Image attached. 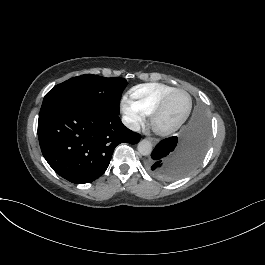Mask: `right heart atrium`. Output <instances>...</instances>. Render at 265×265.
Masks as SVG:
<instances>
[{"mask_svg":"<svg viewBox=\"0 0 265 265\" xmlns=\"http://www.w3.org/2000/svg\"><path fill=\"white\" fill-rule=\"evenodd\" d=\"M122 106L124 111L131 116L133 126L139 127L144 123L145 114L134 102L128 98H124Z\"/></svg>","mask_w":265,"mask_h":265,"instance_id":"1","label":"right heart atrium"}]
</instances>
